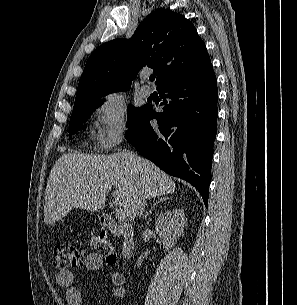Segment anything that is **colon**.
<instances>
[{"mask_svg": "<svg viewBox=\"0 0 297 305\" xmlns=\"http://www.w3.org/2000/svg\"><path fill=\"white\" fill-rule=\"evenodd\" d=\"M83 244L89 248H97L100 250H108L110 248L109 241L104 234L91 233L83 240ZM54 267L60 271L74 268L83 258V250L74 245L57 244L53 250ZM117 255L113 252L108 253V261L114 263Z\"/></svg>", "mask_w": 297, "mask_h": 305, "instance_id": "colon-1", "label": "colon"}]
</instances>
